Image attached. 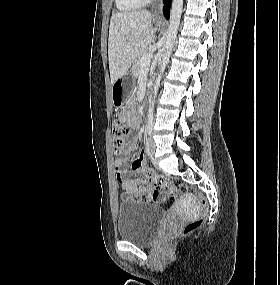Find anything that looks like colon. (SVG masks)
Instances as JSON below:
<instances>
[{
  "mask_svg": "<svg viewBox=\"0 0 280 285\" xmlns=\"http://www.w3.org/2000/svg\"><path fill=\"white\" fill-rule=\"evenodd\" d=\"M112 140L113 145L115 148L119 149L123 147L126 143V140L129 136V129L126 124L121 122L119 119H116L112 123ZM144 175L147 178V180L152 183V185L156 188V191L162 192L166 195H168L171 199H173L179 189L180 190H187V186H180L179 188L176 187L172 181L167 179L166 177L162 175H158L155 173L154 170L148 168L144 171ZM195 196L200 204V206L203 208L202 213L195 219L189 221L183 228L182 234L184 236L189 235L193 233L195 230H197L204 222V218L206 216L207 208H208V201L204 194L201 192L195 191ZM133 201H140L141 197L138 195L132 196Z\"/></svg>",
  "mask_w": 280,
  "mask_h": 285,
  "instance_id": "1",
  "label": "colon"
}]
</instances>
